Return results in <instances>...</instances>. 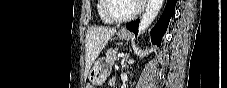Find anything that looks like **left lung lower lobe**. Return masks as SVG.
Wrapping results in <instances>:
<instances>
[{
    "mask_svg": "<svg viewBox=\"0 0 227 88\" xmlns=\"http://www.w3.org/2000/svg\"><path fill=\"white\" fill-rule=\"evenodd\" d=\"M176 2L177 0L167 1L163 14L161 15L156 26L151 30V40L154 44H157L158 46L161 45L162 36L166 32L170 18L174 15ZM138 26L139 20L132 21L126 25L127 29L135 33V35H137L138 33Z\"/></svg>",
    "mask_w": 227,
    "mask_h": 88,
    "instance_id": "0a47b994",
    "label": "left lung lower lobe"
}]
</instances>
